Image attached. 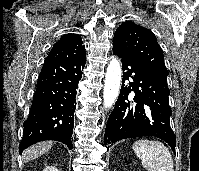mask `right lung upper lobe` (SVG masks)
Instances as JSON below:
<instances>
[{
  "label": "right lung upper lobe",
  "instance_id": "1",
  "mask_svg": "<svg viewBox=\"0 0 199 171\" xmlns=\"http://www.w3.org/2000/svg\"><path fill=\"white\" fill-rule=\"evenodd\" d=\"M86 56L85 46L80 35L69 33L58 40L45 61L64 60L70 61Z\"/></svg>",
  "mask_w": 199,
  "mask_h": 171
}]
</instances>
